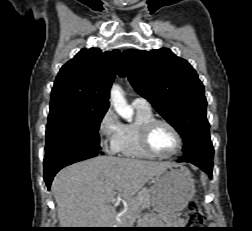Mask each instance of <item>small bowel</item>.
I'll return each mask as SVG.
<instances>
[{
	"mask_svg": "<svg viewBox=\"0 0 252 231\" xmlns=\"http://www.w3.org/2000/svg\"><path fill=\"white\" fill-rule=\"evenodd\" d=\"M155 231H164V230H155Z\"/></svg>",
	"mask_w": 252,
	"mask_h": 231,
	"instance_id": "small-bowel-1",
	"label": "small bowel"
}]
</instances>
